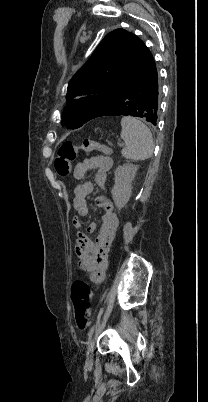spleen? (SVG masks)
<instances>
[{"label":"spleen","mask_w":208,"mask_h":402,"mask_svg":"<svg viewBox=\"0 0 208 402\" xmlns=\"http://www.w3.org/2000/svg\"><path fill=\"white\" fill-rule=\"evenodd\" d=\"M121 138L125 142L122 156L127 160H147L151 158L154 150L152 134L138 118L124 116L121 120Z\"/></svg>","instance_id":"spleen-1"}]
</instances>
